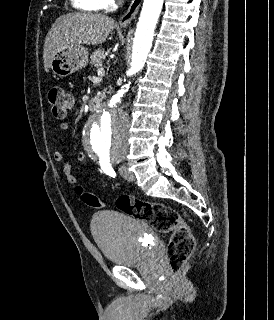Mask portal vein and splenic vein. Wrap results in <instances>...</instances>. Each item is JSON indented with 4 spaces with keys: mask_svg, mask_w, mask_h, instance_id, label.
<instances>
[{
    "mask_svg": "<svg viewBox=\"0 0 274 320\" xmlns=\"http://www.w3.org/2000/svg\"><path fill=\"white\" fill-rule=\"evenodd\" d=\"M97 74H98V76H104V74H105L104 68H98Z\"/></svg>",
    "mask_w": 274,
    "mask_h": 320,
    "instance_id": "portal-vein-and-splenic-vein-1",
    "label": "portal vein and splenic vein"
}]
</instances>
